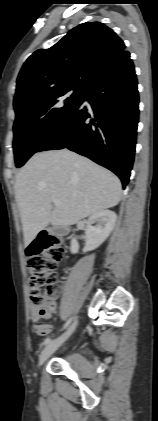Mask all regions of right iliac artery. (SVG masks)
I'll use <instances>...</instances> for the list:
<instances>
[{"label":"right iliac artery","mask_w":158,"mask_h":421,"mask_svg":"<svg viewBox=\"0 0 158 421\" xmlns=\"http://www.w3.org/2000/svg\"><path fill=\"white\" fill-rule=\"evenodd\" d=\"M71 320H72V318H70V319L66 322V324H65V325H64V327H63V329L67 328V326L71 323ZM50 341H51V339H50V338H46V339L44 340L43 344H44V345H47Z\"/></svg>","instance_id":"1"}]
</instances>
